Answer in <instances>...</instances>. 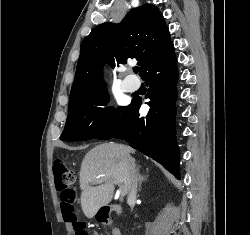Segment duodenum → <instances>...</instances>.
I'll list each match as a JSON object with an SVG mask.
<instances>
[{
	"mask_svg": "<svg viewBox=\"0 0 250 235\" xmlns=\"http://www.w3.org/2000/svg\"><path fill=\"white\" fill-rule=\"evenodd\" d=\"M121 211V208L119 205H111L107 208H105L102 211V215L100 218L101 222H108L110 219L109 217L113 214V213H119ZM112 235H121V231L119 228H114L112 230Z\"/></svg>",
	"mask_w": 250,
	"mask_h": 235,
	"instance_id": "duodenum-1",
	"label": "duodenum"
}]
</instances>
